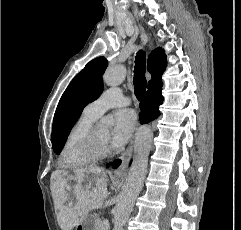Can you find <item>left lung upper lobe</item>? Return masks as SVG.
<instances>
[{"instance_id": "left-lung-upper-lobe-1", "label": "left lung upper lobe", "mask_w": 241, "mask_h": 230, "mask_svg": "<svg viewBox=\"0 0 241 230\" xmlns=\"http://www.w3.org/2000/svg\"><path fill=\"white\" fill-rule=\"evenodd\" d=\"M108 61L98 57L78 73L63 93L57 106L52 127V148L56 154L63 149L71 128L84 107L103 92L102 74Z\"/></svg>"}]
</instances>
